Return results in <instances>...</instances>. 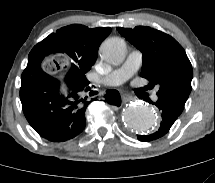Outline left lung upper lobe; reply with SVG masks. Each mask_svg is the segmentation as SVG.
Returning a JSON list of instances; mask_svg holds the SVG:
<instances>
[{"instance_id": "5c2ea615", "label": "left lung upper lobe", "mask_w": 215, "mask_h": 183, "mask_svg": "<svg viewBox=\"0 0 215 183\" xmlns=\"http://www.w3.org/2000/svg\"><path fill=\"white\" fill-rule=\"evenodd\" d=\"M143 55L141 76L157 85L158 98L182 112L191 92L193 71L182 46L171 36L147 26L117 28Z\"/></svg>"}]
</instances>
